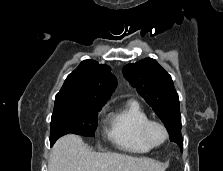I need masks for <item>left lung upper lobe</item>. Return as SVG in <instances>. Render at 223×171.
Here are the masks:
<instances>
[{"mask_svg": "<svg viewBox=\"0 0 223 171\" xmlns=\"http://www.w3.org/2000/svg\"><path fill=\"white\" fill-rule=\"evenodd\" d=\"M123 74L164 123L170 140L182 146L179 97L171 76L151 58L124 66Z\"/></svg>", "mask_w": 223, "mask_h": 171, "instance_id": "5c2ea615", "label": "left lung upper lobe"}]
</instances>
